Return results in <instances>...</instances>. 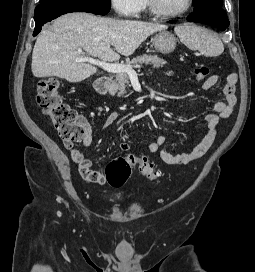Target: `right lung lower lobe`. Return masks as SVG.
I'll list each match as a JSON object with an SVG mask.
<instances>
[{
	"label": "right lung lower lobe",
	"mask_w": 255,
	"mask_h": 272,
	"mask_svg": "<svg viewBox=\"0 0 255 272\" xmlns=\"http://www.w3.org/2000/svg\"><path fill=\"white\" fill-rule=\"evenodd\" d=\"M70 12H88L98 14L90 9L72 4H39L35 9V30L33 36H36L41 31V27L44 23Z\"/></svg>",
	"instance_id": "1"
}]
</instances>
